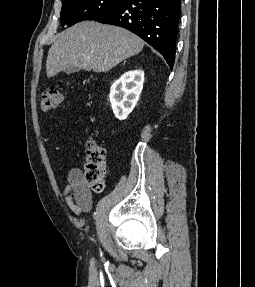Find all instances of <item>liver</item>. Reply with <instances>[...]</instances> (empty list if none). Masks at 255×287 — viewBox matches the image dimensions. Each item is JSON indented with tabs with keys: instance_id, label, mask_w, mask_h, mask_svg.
<instances>
[{
	"instance_id": "obj_1",
	"label": "liver",
	"mask_w": 255,
	"mask_h": 287,
	"mask_svg": "<svg viewBox=\"0 0 255 287\" xmlns=\"http://www.w3.org/2000/svg\"><path fill=\"white\" fill-rule=\"evenodd\" d=\"M143 46V40L124 28L80 22L55 36L47 56V78L70 64L87 72H109L126 58L139 54Z\"/></svg>"
}]
</instances>
